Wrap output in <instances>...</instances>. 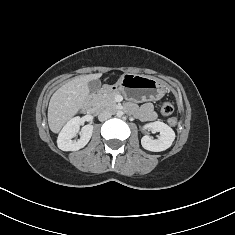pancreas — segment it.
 I'll return each mask as SVG.
<instances>
[{
    "label": "pancreas",
    "instance_id": "cf45deb5",
    "mask_svg": "<svg viewBox=\"0 0 235 235\" xmlns=\"http://www.w3.org/2000/svg\"><path fill=\"white\" fill-rule=\"evenodd\" d=\"M118 95L116 91H104L94 96L95 105L99 108L116 109L117 103L115 97Z\"/></svg>",
    "mask_w": 235,
    "mask_h": 235
}]
</instances>
